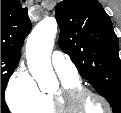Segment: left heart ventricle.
Listing matches in <instances>:
<instances>
[{
	"label": "left heart ventricle",
	"instance_id": "left-heart-ventricle-1",
	"mask_svg": "<svg viewBox=\"0 0 121 113\" xmlns=\"http://www.w3.org/2000/svg\"><path fill=\"white\" fill-rule=\"evenodd\" d=\"M79 109L90 113H105V107L103 103L93 96L84 97L82 105Z\"/></svg>",
	"mask_w": 121,
	"mask_h": 113
}]
</instances>
